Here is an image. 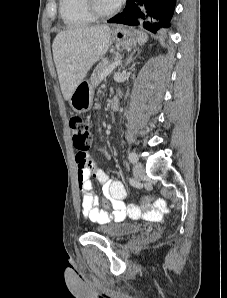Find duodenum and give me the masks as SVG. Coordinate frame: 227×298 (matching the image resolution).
<instances>
[{
  "label": "duodenum",
  "mask_w": 227,
  "mask_h": 298,
  "mask_svg": "<svg viewBox=\"0 0 227 298\" xmlns=\"http://www.w3.org/2000/svg\"><path fill=\"white\" fill-rule=\"evenodd\" d=\"M110 108L112 111H117L119 108V100L117 98H113L110 102Z\"/></svg>",
  "instance_id": "410a0bca"
}]
</instances>
